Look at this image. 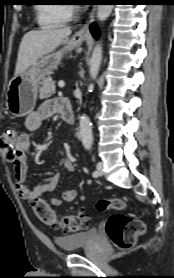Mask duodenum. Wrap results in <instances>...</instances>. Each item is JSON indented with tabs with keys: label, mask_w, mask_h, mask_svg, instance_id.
<instances>
[{
	"label": "duodenum",
	"mask_w": 174,
	"mask_h": 278,
	"mask_svg": "<svg viewBox=\"0 0 174 278\" xmlns=\"http://www.w3.org/2000/svg\"><path fill=\"white\" fill-rule=\"evenodd\" d=\"M58 112L62 120L69 124H74L75 117L68 99L63 98L58 101Z\"/></svg>",
	"instance_id": "duodenum-1"
}]
</instances>
